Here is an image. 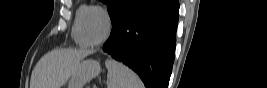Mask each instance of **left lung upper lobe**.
Returning <instances> with one entry per match:
<instances>
[{"instance_id": "5c2ea615", "label": "left lung upper lobe", "mask_w": 267, "mask_h": 88, "mask_svg": "<svg viewBox=\"0 0 267 88\" xmlns=\"http://www.w3.org/2000/svg\"><path fill=\"white\" fill-rule=\"evenodd\" d=\"M108 6V12L112 21V24L117 20L123 9L130 2V0H101Z\"/></svg>"}]
</instances>
